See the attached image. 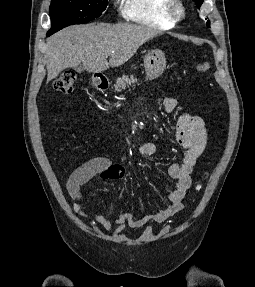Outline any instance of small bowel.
<instances>
[{
  "mask_svg": "<svg viewBox=\"0 0 255 287\" xmlns=\"http://www.w3.org/2000/svg\"><path fill=\"white\" fill-rule=\"evenodd\" d=\"M163 109L170 113L177 106L178 101L173 97L163 99ZM176 138L178 143L186 149V154L179 163L169 166L168 173L175 179L176 186L168 195V205L153 215L137 219L130 212H122L114 219H108L101 214H95L91 219L113 234L123 232L127 226L139 228L150 222L162 223L183 209L182 201L191 186V173L197 159L203 155L207 148V132L202 118L189 114H182L178 118ZM159 147L152 142L139 145L138 152L143 157L159 153ZM125 169L119 164L112 163L106 157H95L70 175L67 181V192L73 201L74 211L83 217L87 215L82 210V187L95 177L101 180H119L124 178Z\"/></svg>",
  "mask_w": 255,
  "mask_h": 287,
  "instance_id": "small-bowel-1",
  "label": "small bowel"
}]
</instances>
